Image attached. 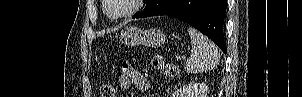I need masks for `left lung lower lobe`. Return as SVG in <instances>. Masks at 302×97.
I'll return each mask as SVG.
<instances>
[{"label":"left lung lower lobe","instance_id":"0a47b994","mask_svg":"<svg viewBox=\"0 0 302 97\" xmlns=\"http://www.w3.org/2000/svg\"><path fill=\"white\" fill-rule=\"evenodd\" d=\"M227 0H151L133 18L168 15L197 28L226 53L223 22Z\"/></svg>","mask_w":302,"mask_h":97}]
</instances>
